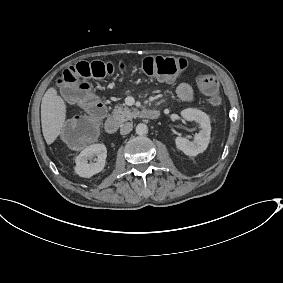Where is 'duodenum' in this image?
<instances>
[{
  "label": "duodenum",
  "mask_w": 283,
  "mask_h": 283,
  "mask_svg": "<svg viewBox=\"0 0 283 283\" xmlns=\"http://www.w3.org/2000/svg\"><path fill=\"white\" fill-rule=\"evenodd\" d=\"M145 119L156 120L160 116V112L155 109L145 111L142 115ZM105 130L108 134H115L118 131V122L115 119H108L105 123Z\"/></svg>",
  "instance_id": "obj_1"
}]
</instances>
